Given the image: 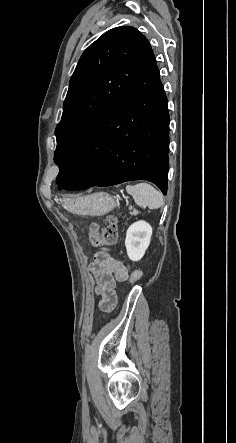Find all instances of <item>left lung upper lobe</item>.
I'll return each mask as SVG.
<instances>
[{"mask_svg": "<svg viewBox=\"0 0 236 443\" xmlns=\"http://www.w3.org/2000/svg\"><path fill=\"white\" fill-rule=\"evenodd\" d=\"M152 54L148 40L130 26L107 31L83 52L70 79L62 118L55 130L54 161L60 169Z\"/></svg>", "mask_w": 236, "mask_h": 443, "instance_id": "obj_1", "label": "left lung upper lobe"}]
</instances>
